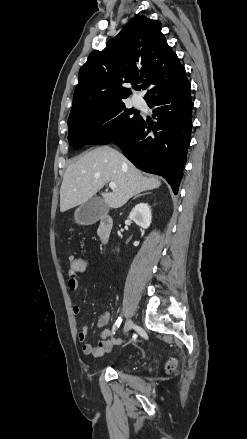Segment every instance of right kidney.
<instances>
[{"mask_svg":"<svg viewBox=\"0 0 247 439\" xmlns=\"http://www.w3.org/2000/svg\"><path fill=\"white\" fill-rule=\"evenodd\" d=\"M129 219L133 220L138 226L147 229L151 224V209L146 203L137 204L129 214Z\"/></svg>","mask_w":247,"mask_h":439,"instance_id":"1","label":"right kidney"}]
</instances>
